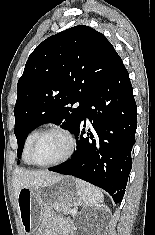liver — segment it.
I'll use <instances>...</instances> for the list:
<instances>
[{
	"instance_id": "6515ba94",
	"label": "liver",
	"mask_w": 155,
	"mask_h": 235,
	"mask_svg": "<svg viewBox=\"0 0 155 235\" xmlns=\"http://www.w3.org/2000/svg\"><path fill=\"white\" fill-rule=\"evenodd\" d=\"M61 176L47 171H30L23 168H15L13 172V185L17 197L23 187L46 186Z\"/></svg>"
}]
</instances>
